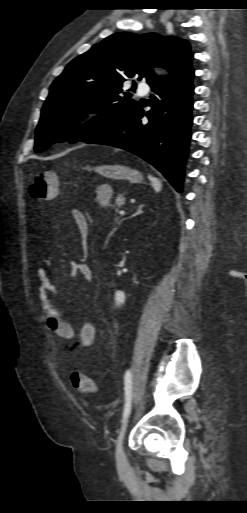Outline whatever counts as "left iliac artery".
Returning <instances> with one entry per match:
<instances>
[{
	"label": "left iliac artery",
	"instance_id": "left-iliac-artery-1",
	"mask_svg": "<svg viewBox=\"0 0 247 513\" xmlns=\"http://www.w3.org/2000/svg\"><path fill=\"white\" fill-rule=\"evenodd\" d=\"M125 404L123 410V418H126L131 410L132 403V372L127 370L124 375Z\"/></svg>",
	"mask_w": 247,
	"mask_h": 513
}]
</instances>
